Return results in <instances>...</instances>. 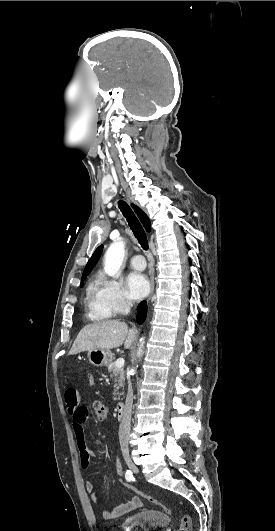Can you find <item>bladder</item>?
<instances>
[{
    "label": "bladder",
    "mask_w": 275,
    "mask_h": 531,
    "mask_svg": "<svg viewBox=\"0 0 275 531\" xmlns=\"http://www.w3.org/2000/svg\"><path fill=\"white\" fill-rule=\"evenodd\" d=\"M166 521L164 511L148 507L143 512L129 514L123 521L124 528L113 531H149L150 528H164Z\"/></svg>",
    "instance_id": "31cf9c89"
}]
</instances>
